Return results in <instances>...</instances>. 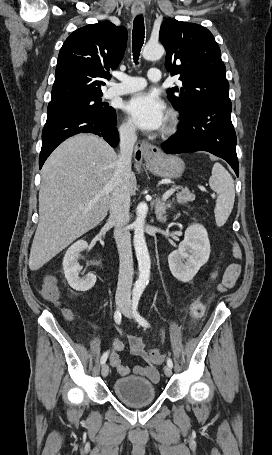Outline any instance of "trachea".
<instances>
[{
	"label": "trachea",
	"mask_w": 272,
	"mask_h": 455,
	"mask_svg": "<svg viewBox=\"0 0 272 455\" xmlns=\"http://www.w3.org/2000/svg\"><path fill=\"white\" fill-rule=\"evenodd\" d=\"M145 26L144 18L142 15H138L134 19L133 32H132V43H133V59L135 64H138V59L141 51V47L144 43Z\"/></svg>",
	"instance_id": "3493384b"
}]
</instances>
